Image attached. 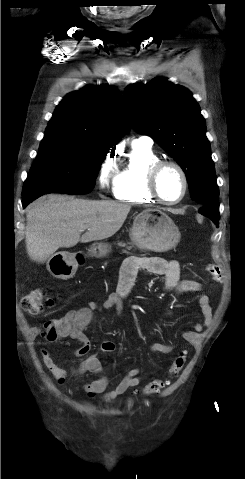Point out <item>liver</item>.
I'll return each instance as SVG.
<instances>
[{
	"label": "liver",
	"mask_w": 245,
	"mask_h": 479,
	"mask_svg": "<svg viewBox=\"0 0 245 479\" xmlns=\"http://www.w3.org/2000/svg\"><path fill=\"white\" fill-rule=\"evenodd\" d=\"M130 209L131 205L115 201L41 197L27 211V253L43 263L59 248L109 238L122 227Z\"/></svg>",
	"instance_id": "liver-1"
}]
</instances>
